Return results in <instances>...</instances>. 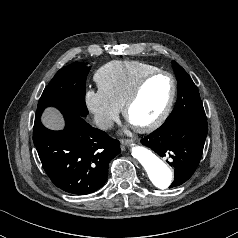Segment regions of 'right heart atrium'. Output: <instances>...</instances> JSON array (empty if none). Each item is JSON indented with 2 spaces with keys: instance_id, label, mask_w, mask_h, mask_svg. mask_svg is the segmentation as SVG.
<instances>
[{
  "instance_id": "1",
  "label": "right heart atrium",
  "mask_w": 238,
  "mask_h": 238,
  "mask_svg": "<svg viewBox=\"0 0 238 238\" xmlns=\"http://www.w3.org/2000/svg\"><path fill=\"white\" fill-rule=\"evenodd\" d=\"M85 104L95 124L102 130H109L119 117L120 109L99 90L86 91Z\"/></svg>"
}]
</instances>
